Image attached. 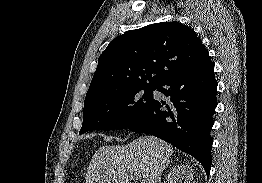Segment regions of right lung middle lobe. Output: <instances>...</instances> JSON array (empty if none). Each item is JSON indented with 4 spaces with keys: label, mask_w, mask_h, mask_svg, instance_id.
Listing matches in <instances>:
<instances>
[{
    "label": "right lung middle lobe",
    "mask_w": 262,
    "mask_h": 183,
    "mask_svg": "<svg viewBox=\"0 0 262 183\" xmlns=\"http://www.w3.org/2000/svg\"><path fill=\"white\" fill-rule=\"evenodd\" d=\"M153 90L155 88H131L86 101L80 134L127 128L153 102Z\"/></svg>",
    "instance_id": "obj_1"
}]
</instances>
